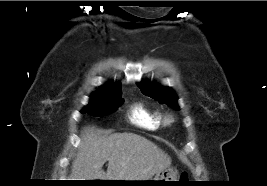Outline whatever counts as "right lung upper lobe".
Returning a JSON list of instances; mask_svg holds the SVG:
<instances>
[{
	"label": "right lung upper lobe",
	"mask_w": 267,
	"mask_h": 186,
	"mask_svg": "<svg viewBox=\"0 0 267 186\" xmlns=\"http://www.w3.org/2000/svg\"><path fill=\"white\" fill-rule=\"evenodd\" d=\"M121 93V86L119 83H107L101 88L100 91L95 92L94 94H115Z\"/></svg>",
	"instance_id": "right-lung-upper-lobe-1"
}]
</instances>
